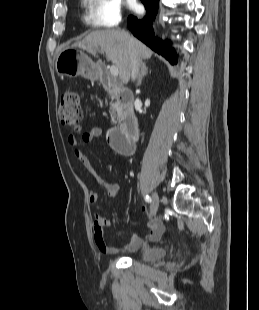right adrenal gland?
<instances>
[{
  "label": "right adrenal gland",
  "mask_w": 259,
  "mask_h": 310,
  "mask_svg": "<svg viewBox=\"0 0 259 310\" xmlns=\"http://www.w3.org/2000/svg\"><path fill=\"white\" fill-rule=\"evenodd\" d=\"M148 74V68L146 67V62L141 64V71L137 80V86L141 85L144 76Z\"/></svg>",
  "instance_id": "obj_1"
}]
</instances>
